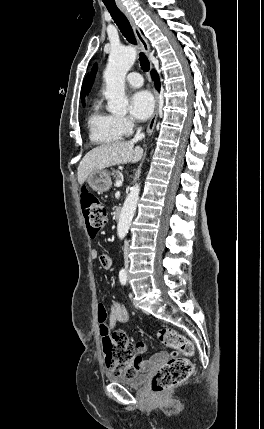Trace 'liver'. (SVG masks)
Wrapping results in <instances>:
<instances>
[{
	"label": "liver",
	"instance_id": "liver-1",
	"mask_svg": "<svg viewBox=\"0 0 264 429\" xmlns=\"http://www.w3.org/2000/svg\"><path fill=\"white\" fill-rule=\"evenodd\" d=\"M143 156L140 146L133 142H114L100 145L89 151L78 166V182L83 184L94 170L105 169L116 164L137 163Z\"/></svg>",
	"mask_w": 264,
	"mask_h": 429
}]
</instances>
